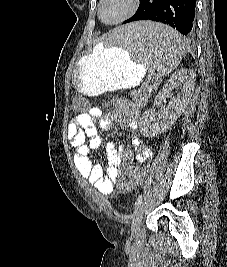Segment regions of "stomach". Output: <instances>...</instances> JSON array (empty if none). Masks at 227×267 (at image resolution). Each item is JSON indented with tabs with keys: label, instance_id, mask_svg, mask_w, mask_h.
<instances>
[{
	"label": "stomach",
	"instance_id": "obj_1",
	"mask_svg": "<svg viewBox=\"0 0 227 267\" xmlns=\"http://www.w3.org/2000/svg\"><path fill=\"white\" fill-rule=\"evenodd\" d=\"M145 65L131 55H120V47L96 46L79 59L72 86L89 96L133 86L142 78Z\"/></svg>",
	"mask_w": 227,
	"mask_h": 267
}]
</instances>
